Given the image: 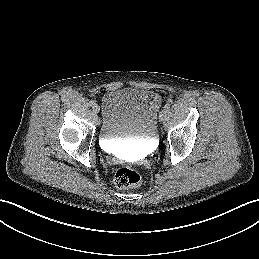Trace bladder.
<instances>
[{
    "mask_svg": "<svg viewBox=\"0 0 259 259\" xmlns=\"http://www.w3.org/2000/svg\"><path fill=\"white\" fill-rule=\"evenodd\" d=\"M160 105L159 94L150 89L129 87L109 91L102 99L101 140L137 145L153 142Z\"/></svg>",
    "mask_w": 259,
    "mask_h": 259,
    "instance_id": "obj_1",
    "label": "bladder"
}]
</instances>
